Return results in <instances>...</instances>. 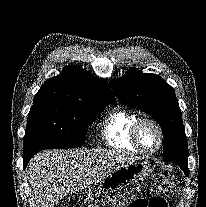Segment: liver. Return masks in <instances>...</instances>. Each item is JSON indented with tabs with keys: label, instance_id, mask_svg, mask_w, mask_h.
<instances>
[{
	"label": "liver",
	"instance_id": "1",
	"mask_svg": "<svg viewBox=\"0 0 206 207\" xmlns=\"http://www.w3.org/2000/svg\"><path fill=\"white\" fill-rule=\"evenodd\" d=\"M138 157L106 150H43L26 172L35 194V207H54L63 197L90 187Z\"/></svg>",
	"mask_w": 206,
	"mask_h": 207
}]
</instances>
